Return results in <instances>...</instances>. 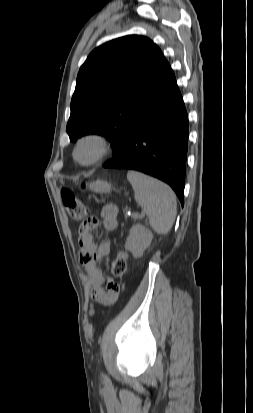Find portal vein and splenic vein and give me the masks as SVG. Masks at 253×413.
<instances>
[{"instance_id": "18ae733b", "label": "portal vein and splenic vein", "mask_w": 253, "mask_h": 413, "mask_svg": "<svg viewBox=\"0 0 253 413\" xmlns=\"http://www.w3.org/2000/svg\"><path fill=\"white\" fill-rule=\"evenodd\" d=\"M133 216H137V214L134 213Z\"/></svg>"}]
</instances>
